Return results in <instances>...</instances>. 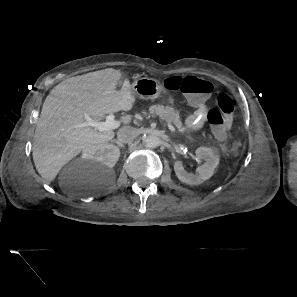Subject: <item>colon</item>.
<instances>
[{
	"instance_id": "obj_1",
	"label": "colon",
	"mask_w": 297,
	"mask_h": 297,
	"mask_svg": "<svg viewBox=\"0 0 297 297\" xmlns=\"http://www.w3.org/2000/svg\"><path fill=\"white\" fill-rule=\"evenodd\" d=\"M164 86L185 94L196 103L211 96L214 90L210 81L195 76H172L164 81ZM236 108V100L227 93L221 92L216 97V107L208 112L207 119L217 140L224 141L227 138Z\"/></svg>"
}]
</instances>
